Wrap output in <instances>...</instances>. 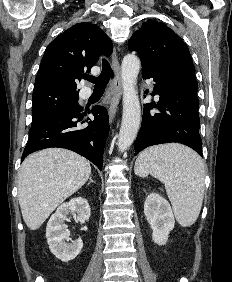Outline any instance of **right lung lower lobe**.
<instances>
[{"label":"right lung lower lobe","instance_id":"right-lung-lower-lobe-1","mask_svg":"<svg viewBox=\"0 0 232 282\" xmlns=\"http://www.w3.org/2000/svg\"><path fill=\"white\" fill-rule=\"evenodd\" d=\"M87 112L94 115L93 121L85 117ZM84 122H87L88 126L79 128V124ZM108 133V113L102 106L97 105L86 111L82 107L62 111L42 123L31 126L22 161L37 150L60 147L84 156L101 170Z\"/></svg>","mask_w":232,"mask_h":282}]
</instances>
